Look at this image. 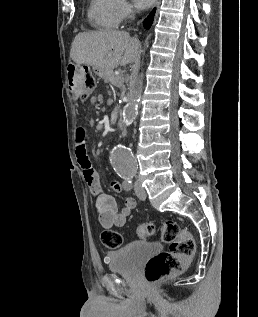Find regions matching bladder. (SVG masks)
Returning <instances> with one entry per match:
<instances>
[{
    "label": "bladder",
    "mask_w": 258,
    "mask_h": 317,
    "mask_svg": "<svg viewBox=\"0 0 258 317\" xmlns=\"http://www.w3.org/2000/svg\"><path fill=\"white\" fill-rule=\"evenodd\" d=\"M162 252V246L155 242H131L107 255L108 266L111 271H133L144 260Z\"/></svg>",
    "instance_id": "31cf9c89"
}]
</instances>
